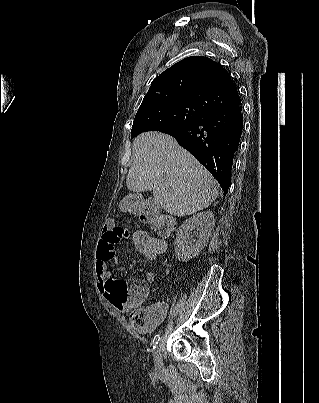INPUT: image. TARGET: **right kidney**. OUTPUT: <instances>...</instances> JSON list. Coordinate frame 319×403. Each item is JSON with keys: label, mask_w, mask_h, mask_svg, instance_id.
Wrapping results in <instances>:
<instances>
[{"label": "right kidney", "mask_w": 319, "mask_h": 403, "mask_svg": "<svg viewBox=\"0 0 319 403\" xmlns=\"http://www.w3.org/2000/svg\"><path fill=\"white\" fill-rule=\"evenodd\" d=\"M214 224L215 218L211 211L200 212L183 222L174 242L177 259L187 262L198 255L207 245Z\"/></svg>", "instance_id": "right-kidney-1"}]
</instances>
